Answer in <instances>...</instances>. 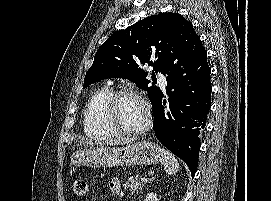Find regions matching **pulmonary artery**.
Returning <instances> with one entry per match:
<instances>
[{"label":"pulmonary artery","mask_w":271,"mask_h":201,"mask_svg":"<svg viewBox=\"0 0 271 201\" xmlns=\"http://www.w3.org/2000/svg\"><path fill=\"white\" fill-rule=\"evenodd\" d=\"M158 81H159L160 85H161L163 88L166 87L167 82H166V78H165V76H164L163 74H161V73L158 74Z\"/></svg>","instance_id":"pulmonary-artery-1"}]
</instances>
